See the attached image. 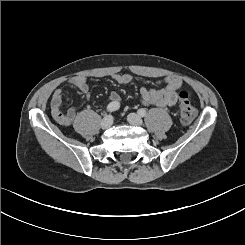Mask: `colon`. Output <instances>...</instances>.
Returning <instances> with one entry per match:
<instances>
[{
    "mask_svg": "<svg viewBox=\"0 0 245 245\" xmlns=\"http://www.w3.org/2000/svg\"><path fill=\"white\" fill-rule=\"evenodd\" d=\"M180 119L183 124H190L196 117V109L191 104L189 94L185 91L179 95Z\"/></svg>",
    "mask_w": 245,
    "mask_h": 245,
    "instance_id": "1",
    "label": "colon"
}]
</instances>
